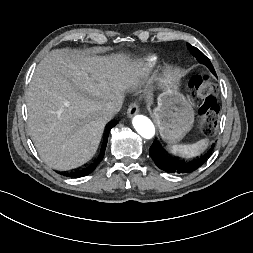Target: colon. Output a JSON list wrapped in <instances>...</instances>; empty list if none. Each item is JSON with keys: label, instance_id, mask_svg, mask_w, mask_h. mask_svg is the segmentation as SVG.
Here are the masks:
<instances>
[{"label": "colon", "instance_id": "5ec220e1", "mask_svg": "<svg viewBox=\"0 0 253 253\" xmlns=\"http://www.w3.org/2000/svg\"><path fill=\"white\" fill-rule=\"evenodd\" d=\"M190 96L199 102V127L203 134L214 133L219 115V104L214 94V86L206 75L195 76L190 79Z\"/></svg>", "mask_w": 253, "mask_h": 253}]
</instances>
